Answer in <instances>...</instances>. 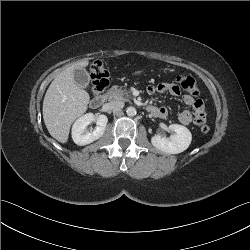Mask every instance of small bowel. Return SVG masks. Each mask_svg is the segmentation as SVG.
<instances>
[{"label":"small bowel","instance_id":"1","mask_svg":"<svg viewBox=\"0 0 250 250\" xmlns=\"http://www.w3.org/2000/svg\"><path fill=\"white\" fill-rule=\"evenodd\" d=\"M149 94H154L156 92H168L171 94H179L180 88L173 83H161L157 86H149L147 88ZM183 102L192 107V110H186L179 114V121L183 125L195 124L202 125L206 121V110L204 103L199 98H194L189 94L183 95ZM152 111H150L154 116L165 118L168 115V110L165 107H150Z\"/></svg>","mask_w":250,"mask_h":250}]
</instances>
